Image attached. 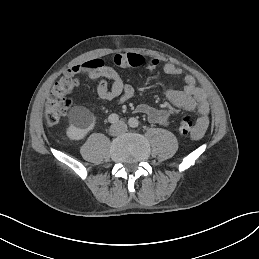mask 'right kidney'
<instances>
[{"label": "right kidney", "instance_id": "right-kidney-1", "mask_svg": "<svg viewBox=\"0 0 259 259\" xmlns=\"http://www.w3.org/2000/svg\"><path fill=\"white\" fill-rule=\"evenodd\" d=\"M70 126L67 136L71 140H80L92 130L95 125L94 115L85 107H73L69 113Z\"/></svg>", "mask_w": 259, "mask_h": 259}]
</instances>
